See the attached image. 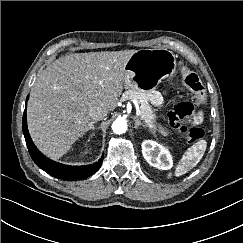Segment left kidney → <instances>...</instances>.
Masks as SVG:
<instances>
[{
    "label": "left kidney",
    "instance_id": "left-kidney-1",
    "mask_svg": "<svg viewBox=\"0 0 243 243\" xmlns=\"http://www.w3.org/2000/svg\"><path fill=\"white\" fill-rule=\"evenodd\" d=\"M142 154L145 160L153 167L161 170H169L173 166V160L167 148L152 140L142 143Z\"/></svg>",
    "mask_w": 243,
    "mask_h": 243
}]
</instances>
